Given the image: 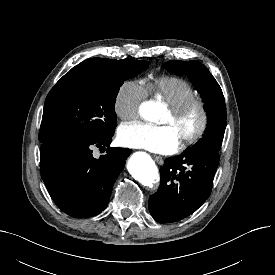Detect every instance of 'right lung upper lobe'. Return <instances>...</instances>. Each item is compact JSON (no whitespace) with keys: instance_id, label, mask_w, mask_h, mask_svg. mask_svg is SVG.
<instances>
[{"instance_id":"cb5924a9","label":"right lung upper lobe","mask_w":275,"mask_h":275,"mask_svg":"<svg viewBox=\"0 0 275 275\" xmlns=\"http://www.w3.org/2000/svg\"><path fill=\"white\" fill-rule=\"evenodd\" d=\"M111 60L112 59L92 58V59H89L87 61H84V62L80 63L79 65L94 63V64L104 66V65H108L109 63H111Z\"/></svg>"}]
</instances>
